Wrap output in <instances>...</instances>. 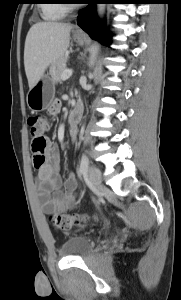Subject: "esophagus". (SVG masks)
<instances>
[{
    "label": "esophagus",
    "instance_id": "1",
    "mask_svg": "<svg viewBox=\"0 0 181 300\" xmlns=\"http://www.w3.org/2000/svg\"><path fill=\"white\" fill-rule=\"evenodd\" d=\"M75 32H76V33H82V30L79 29L78 27H76V28H75Z\"/></svg>",
    "mask_w": 181,
    "mask_h": 300
}]
</instances>
